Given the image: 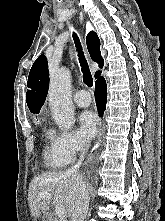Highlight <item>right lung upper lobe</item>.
I'll use <instances>...</instances> for the list:
<instances>
[{"instance_id":"1","label":"right lung upper lobe","mask_w":165,"mask_h":221,"mask_svg":"<svg viewBox=\"0 0 165 221\" xmlns=\"http://www.w3.org/2000/svg\"><path fill=\"white\" fill-rule=\"evenodd\" d=\"M87 48L92 60L103 66V59L100 54V40L93 31L89 32L87 38ZM101 72L95 74V78H100ZM28 91L26 101L29 110L32 113H39L41 106L44 104L49 85L48 63L44 55H40L34 62L28 77Z\"/></svg>"}]
</instances>
